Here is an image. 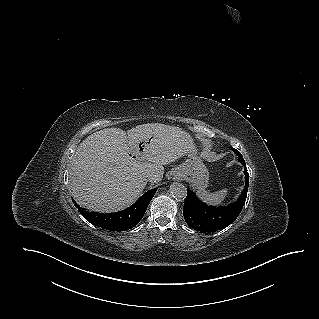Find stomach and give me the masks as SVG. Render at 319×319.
<instances>
[{
    "label": "stomach",
    "mask_w": 319,
    "mask_h": 319,
    "mask_svg": "<svg viewBox=\"0 0 319 319\" xmlns=\"http://www.w3.org/2000/svg\"><path fill=\"white\" fill-rule=\"evenodd\" d=\"M175 173L180 178L189 180L198 191L208 186V169L196 154H189L188 159L175 169Z\"/></svg>",
    "instance_id": "obj_1"
}]
</instances>
